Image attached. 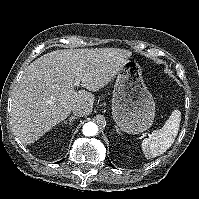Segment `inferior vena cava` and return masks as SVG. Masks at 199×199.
Returning a JSON list of instances; mask_svg holds the SVG:
<instances>
[{"label": "inferior vena cava", "mask_w": 199, "mask_h": 199, "mask_svg": "<svg viewBox=\"0 0 199 199\" xmlns=\"http://www.w3.org/2000/svg\"><path fill=\"white\" fill-rule=\"evenodd\" d=\"M72 111L74 115L79 117L88 115V111L83 105H75Z\"/></svg>", "instance_id": "obj_1"}]
</instances>
